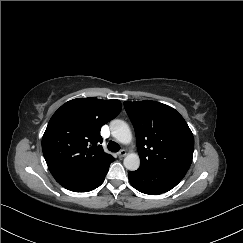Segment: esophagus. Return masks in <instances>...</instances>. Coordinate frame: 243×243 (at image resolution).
<instances>
[{"mask_svg": "<svg viewBox=\"0 0 243 243\" xmlns=\"http://www.w3.org/2000/svg\"><path fill=\"white\" fill-rule=\"evenodd\" d=\"M126 150H124V149H122V150H120L119 152H118V156L120 157V158H122V157H124V156H126Z\"/></svg>", "mask_w": 243, "mask_h": 243, "instance_id": "34e87169", "label": "esophagus"}]
</instances>
